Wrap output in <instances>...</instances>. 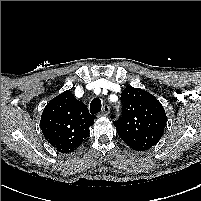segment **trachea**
<instances>
[{"instance_id":"trachea-1","label":"trachea","mask_w":201,"mask_h":201,"mask_svg":"<svg viewBox=\"0 0 201 201\" xmlns=\"http://www.w3.org/2000/svg\"><path fill=\"white\" fill-rule=\"evenodd\" d=\"M101 100L99 98H94L90 103V112L96 114L101 111Z\"/></svg>"}]
</instances>
